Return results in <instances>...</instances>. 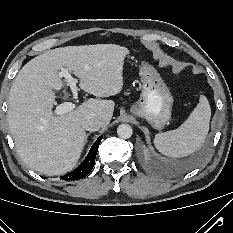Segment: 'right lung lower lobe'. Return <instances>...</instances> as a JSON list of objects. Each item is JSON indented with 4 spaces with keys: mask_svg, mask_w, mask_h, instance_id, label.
<instances>
[{
    "mask_svg": "<svg viewBox=\"0 0 233 233\" xmlns=\"http://www.w3.org/2000/svg\"><path fill=\"white\" fill-rule=\"evenodd\" d=\"M101 140H102V136H100L95 141V143L91 147L88 155L86 156L85 160L72 172H70L64 176H61V179L65 180V181H70V180L82 179L85 176H87V174L92 170V168L95 164V158H96L97 150H98V147H99Z\"/></svg>",
    "mask_w": 233,
    "mask_h": 233,
    "instance_id": "98d812e1",
    "label": "right lung lower lobe"
}]
</instances>
